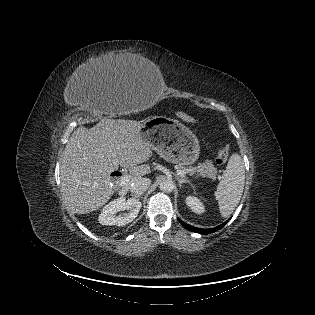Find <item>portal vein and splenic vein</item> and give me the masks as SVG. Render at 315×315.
<instances>
[{
	"label": "portal vein and splenic vein",
	"instance_id": "obj_1",
	"mask_svg": "<svg viewBox=\"0 0 315 315\" xmlns=\"http://www.w3.org/2000/svg\"><path fill=\"white\" fill-rule=\"evenodd\" d=\"M177 175H179L180 177H186L185 173L182 170H177ZM130 182V176L129 175H124L120 178L119 180V184L120 186H125Z\"/></svg>",
	"mask_w": 315,
	"mask_h": 315
}]
</instances>
